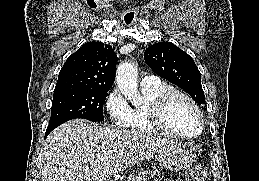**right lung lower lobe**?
<instances>
[{
  "label": "right lung lower lobe",
  "instance_id": "1",
  "mask_svg": "<svg viewBox=\"0 0 259 181\" xmlns=\"http://www.w3.org/2000/svg\"><path fill=\"white\" fill-rule=\"evenodd\" d=\"M50 132L46 131L45 137L49 134Z\"/></svg>",
  "mask_w": 259,
  "mask_h": 181
}]
</instances>
